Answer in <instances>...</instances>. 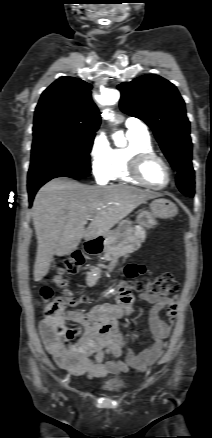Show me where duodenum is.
<instances>
[{"label": "duodenum", "instance_id": "obj_1", "mask_svg": "<svg viewBox=\"0 0 212 438\" xmlns=\"http://www.w3.org/2000/svg\"><path fill=\"white\" fill-rule=\"evenodd\" d=\"M102 244H103V242H102V239H100V238L91 239V240H87L85 242L84 248H85L86 253L93 255V254L98 253L101 250Z\"/></svg>", "mask_w": 212, "mask_h": 438}]
</instances>
